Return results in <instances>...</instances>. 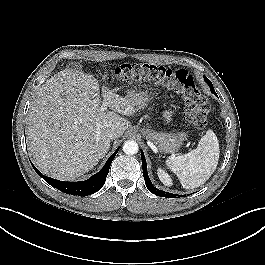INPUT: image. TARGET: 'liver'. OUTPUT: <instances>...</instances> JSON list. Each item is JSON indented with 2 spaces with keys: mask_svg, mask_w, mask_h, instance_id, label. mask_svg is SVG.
I'll list each match as a JSON object with an SVG mask.
<instances>
[{
  "mask_svg": "<svg viewBox=\"0 0 265 265\" xmlns=\"http://www.w3.org/2000/svg\"><path fill=\"white\" fill-rule=\"evenodd\" d=\"M102 97L114 112L100 111L98 82L78 68L64 69L41 86L28 114L27 140L42 173L58 180H75L108 152V131L114 130L120 137L131 125L119 115L130 116L138 110L131 96L103 87Z\"/></svg>",
  "mask_w": 265,
  "mask_h": 265,
  "instance_id": "1",
  "label": "liver"
}]
</instances>
